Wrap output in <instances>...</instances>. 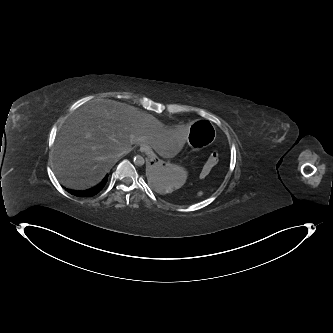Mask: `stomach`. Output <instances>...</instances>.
Here are the masks:
<instances>
[{"mask_svg":"<svg viewBox=\"0 0 333 333\" xmlns=\"http://www.w3.org/2000/svg\"><path fill=\"white\" fill-rule=\"evenodd\" d=\"M215 138L214 126L209 121L202 119L191 126L188 145L193 150H199L203 146L211 145ZM142 146L143 144L141 148ZM151 158V163L146 170L151 185L162 193L172 192L182 186L186 173L181 167L172 164L165 165L154 155Z\"/></svg>","mask_w":333,"mask_h":333,"instance_id":"obj_1","label":"stomach"}]
</instances>
